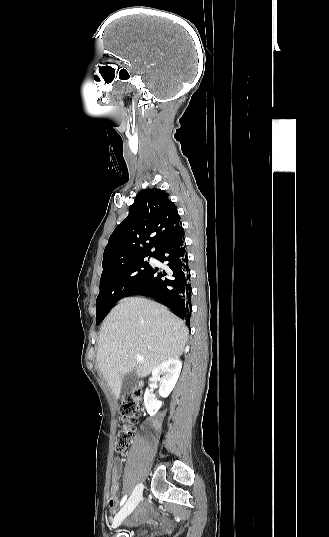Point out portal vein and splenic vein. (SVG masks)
<instances>
[{"mask_svg": "<svg viewBox=\"0 0 329 537\" xmlns=\"http://www.w3.org/2000/svg\"><path fill=\"white\" fill-rule=\"evenodd\" d=\"M136 360H137L138 362H142V361H144V358H143L141 355H137V356H136Z\"/></svg>", "mask_w": 329, "mask_h": 537, "instance_id": "18ae733b", "label": "portal vein and splenic vein"}]
</instances>
